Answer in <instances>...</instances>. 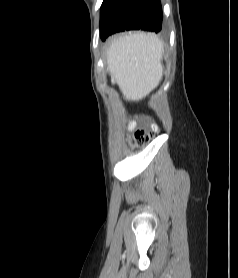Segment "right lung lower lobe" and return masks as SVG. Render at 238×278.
Listing matches in <instances>:
<instances>
[{
    "mask_svg": "<svg viewBox=\"0 0 238 278\" xmlns=\"http://www.w3.org/2000/svg\"><path fill=\"white\" fill-rule=\"evenodd\" d=\"M160 0H104L100 15V37L141 29L160 32L162 25Z\"/></svg>",
    "mask_w": 238,
    "mask_h": 278,
    "instance_id": "obj_1",
    "label": "right lung lower lobe"
}]
</instances>
